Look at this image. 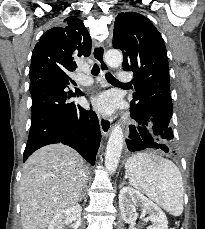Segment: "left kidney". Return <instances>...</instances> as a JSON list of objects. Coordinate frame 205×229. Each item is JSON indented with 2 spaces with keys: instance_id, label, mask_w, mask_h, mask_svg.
<instances>
[{
  "instance_id": "obj_1",
  "label": "left kidney",
  "mask_w": 205,
  "mask_h": 229,
  "mask_svg": "<svg viewBox=\"0 0 205 229\" xmlns=\"http://www.w3.org/2000/svg\"><path fill=\"white\" fill-rule=\"evenodd\" d=\"M138 207L141 208V216L149 215L148 219L151 222L149 229H168L167 217L161 208L134 188L123 187L119 192V208L125 223L135 224Z\"/></svg>"
}]
</instances>
